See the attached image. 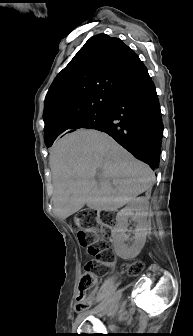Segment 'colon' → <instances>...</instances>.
<instances>
[{
  "label": "colon",
  "instance_id": "1",
  "mask_svg": "<svg viewBox=\"0 0 193 336\" xmlns=\"http://www.w3.org/2000/svg\"><path fill=\"white\" fill-rule=\"evenodd\" d=\"M110 223L111 217L108 213L92 210L79 213L73 218L72 225L77 229L79 242L99 263H87L85 266L86 271L81 277L78 289L77 310H82L88 305L86 295L96 284L94 269L110 262L111 252L107 243ZM143 268L144 264L141 261H133L125 266L130 276L139 275Z\"/></svg>",
  "mask_w": 193,
  "mask_h": 336
}]
</instances>
